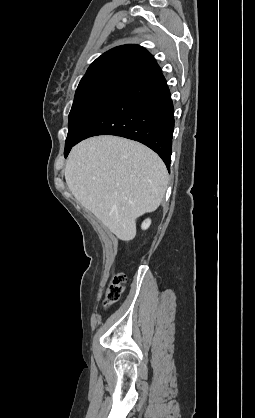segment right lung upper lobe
Returning <instances> with one entry per match:
<instances>
[{
  "instance_id": "obj_1",
  "label": "right lung upper lobe",
  "mask_w": 255,
  "mask_h": 418,
  "mask_svg": "<svg viewBox=\"0 0 255 418\" xmlns=\"http://www.w3.org/2000/svg\"><path fill=\"white\" fill-rule=\"evenodd\" d=\"M160 72L155 58L145 48L127 44L115 47L97 58L79 86L106 82L127 87Z\"/></svg>"
}]
</instances>
